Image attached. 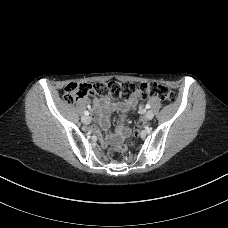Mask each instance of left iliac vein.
<instances>
[{
  "mask_svg": "<svg viewBox=\"0 0 228 228\" xmlns=\"http://www.w3.org/2000/svg\"><path fill=\"white\" fill-rule=\"evenodd\" d=\"M145 117H146L147 120H151V119H153L154 114H153L152 111H147Z\"/></svg>",
  "mask_w": 228,
  "mask_h": 228,
  "instance_id": "4c4485c4",
  "label": "left iliac vein"
}]
</instances>
